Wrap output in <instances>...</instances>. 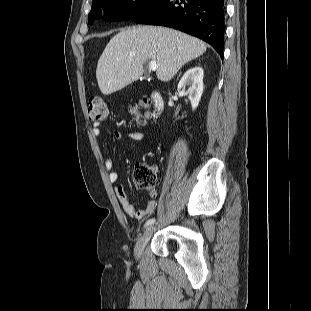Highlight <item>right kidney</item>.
I'll use <instances>...</instances> for the list:
<instances>
[{
    "label": "right kidney",
    "mask_w": 311,
    "mask_h": 311,
    "mask_svg": "<svg viewBox=\"0 0 311 311\" xmlns=\"http://www.w3.org/2000/svg\"><path fill=\"white\" fill-rule=\"evenodd\" d=\"M203 75L204 71L202 67H193L183 75L178 84V89L183 91H185L188 86L186 94L188 95L193 110L199 105L203 93Z\"/></svg>",
    "instance_id": "right-kidney-1"
}]
</instances>
